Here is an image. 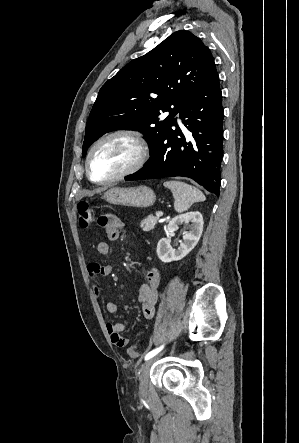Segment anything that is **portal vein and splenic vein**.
Listing matches in <instances>:
<instances>
[{"label":"portal vein and splenic vein","mask_w":299,"mask_h":443,"mask_svg":"<svg viewBox=\"0 0 299 443\" xmlns=\"http://www.w3.org/2000/svg\"><path fill=\"white\" fill-rule=\"evenodd\" d=\"M163 216V212H156V217L157 218H160V217H162Z\"/></svg>","instance_id":"portal-vein-and-splenic-vein-1"}]
</instances>
